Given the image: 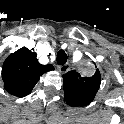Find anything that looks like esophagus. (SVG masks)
<instances>
[{"label":"esophagus","mask_w":124,"mask_h":124,"mask_svg":"<svg viewBox=\"0 0 124 124\" xmlns=\"http://www.w3.org/2000/svg\"><path fill=\"white\" fill-rule=\"evenodd\" d=\"M58 69L60 73L65 74L70 70V66L69 64H64V65L59 66Z\"/></svg>","instance_id":"esophagus-1"}]
</instances>
